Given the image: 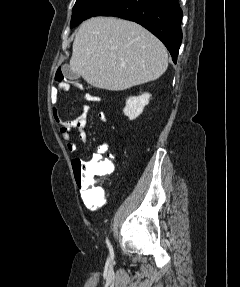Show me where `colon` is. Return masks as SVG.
I'll return each instance as SVG.
<instances>
[{"label":"colon","mask_w":240,"mask_h":287,"mask_svg":"<svg viewBox=\"0 0 240 287\" xmlns=\"http://www.w3.org/2000/svg\"><path fill=\"white\" fill-rule=\"evenodd\" d=\"M70 87V84L66 81L64 72L61 68H58L55 73V85L50 91V102L53 109V113L59 109V102L61 94ZM113 169V162L111 159H103L98 161H74L73 170L78 181V187L81 193L86 195L94 189L95 181L109 173Z\"/></svg>","instance_id":"1"}]
</instances>
